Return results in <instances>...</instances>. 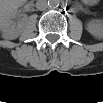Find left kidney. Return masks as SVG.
Returning <instances> with one entry per match:
<instances>
[{"label":"left kidney","mask_w":103,"mask_h":103,"mask_svg":"<svg viewBox=\"0 0 103 103\" xmlns=\"http://www.w3.org/2000/svg\"><path fill=\"white\" fill-rule=\"evenodd\" d=\"M88 31L94 35V36H101L102 35V30H96V29H92V28H89Z\"/></svg>","instance_id":"5707ae66"}]
</instances>
